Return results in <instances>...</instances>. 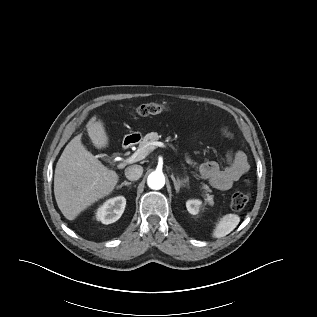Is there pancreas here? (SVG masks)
<instances>
[{
    "label": "pancreas",
    "mask_w": 317,
    "mask_h": 317,
    "mask_svg": "<svg viewBox=\"0 0 317 317\" xmlns=\"http://www.w3.org/2000/svg\"><path fill=\"white\" fill-rule=\"evenodd\" d=\"M161 137V135H158L157 132H151L148 133L143 140L140 142L139 144V149L140 148H144L146 149L147 153H150L151 151H153V149L151 148V146L149 145V143L152 142H156L157 140H159V138ZM201 189H203V192L205 193V200L209 205H213L214 201H213V197L211 195H209L208 192H210V188L209 186H207L206 184L202 183V187Z\"/></svg>",
    "instance_id": "obj_1"
}]
</instances>
